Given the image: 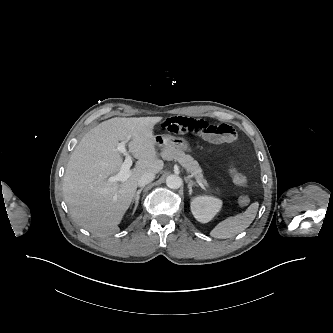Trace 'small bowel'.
<instances>
[{
    "label": "small bowel",
    "mask_w": 333,
    "mask_h": 333,
    "mask_svg": "<svg viewBox=\"0 0 333 333\" xmlns=\"http://www.w3.org/2000/svg\"><path fill=\"white\" fill-rule=\"evenodd\" d=\"M160 126L169 133L192 134L214 144L232 143L237 138L234 128L226 123L213 124L186 116L167 117L160 122Z\"/></svg>",
    "instance_id": "1"
}]
</instances>
